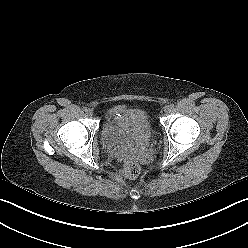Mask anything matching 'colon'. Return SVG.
Wrapping results in <instances>:
<instances>
[{
	"instance_id": "obj_1",
	"label": "colon",
	"mask_w": 248,
	"mask_h": 248,
	"mask_svg": "<svg viewBox=\"0 0 248 248\" xmlns=\"http://www.w3.org/2000/svg\"><path fill=\"white\" fill-rule=\"evenodd\" d=\"M140 173V166L134 159H126L122 168H121V174L125 178H135Z\"/></svg>"
}]
</instances>
